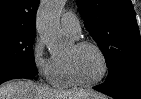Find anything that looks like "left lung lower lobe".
Segmentation results:
<instances>
[{
  "instance_id": "0a47b994",
  "label": "left lung lower lobe",
  "mask_w": 141,
  "mask_h": 99,
  "mask_svg": "<svg viewBox=\"0 0 141 99\" xmlns=\"http://www.w3.org/2000/svg\"><path fill=\"white\" fill-rule=\"evenodd\" d=\"M94 89L115 99H141V72L123 74Z\"/></svg>"
}]
</instances>
